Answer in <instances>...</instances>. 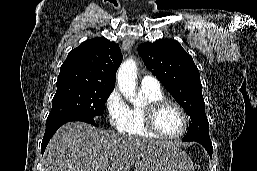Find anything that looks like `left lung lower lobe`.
I'll return each instance as SVG.
<instances>
[{"label":"left lung lower lobe","instance_id":"1","mask_svg":"<svg viewBox=\"0 0 257 171\" xmlns=\"http://www.w3.org/2000/svg\"><path fill=\"white\" fill-rule=\"evenodd\" d=\"M193 141L200 143L206 149L210 157H212L213 147H212L211 140H193ZM184 142H188V141H184Z\"/></svg>","mask_w":257,"mask_h":171}]
</instances>
